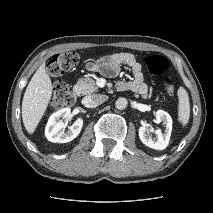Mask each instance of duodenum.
Wrapping results in <instances>:
<instances>
[{
  "mask_svg": "<svg viewBox=\"0 0 213 213\" xmlns=\"http://www.w3.org/2000/svg\"><path fill=\"white\" fill-rule=\"evenodd\" d=\"M80 93H81V91H80L79 88H75V89H74V94H75V96H79Z\"/></svg>",
  "mask_w": 213,
  "mask_h": 213,
  "instance_id": "duodenum-1",
  "label": "duodenum"
}]
</instances>
